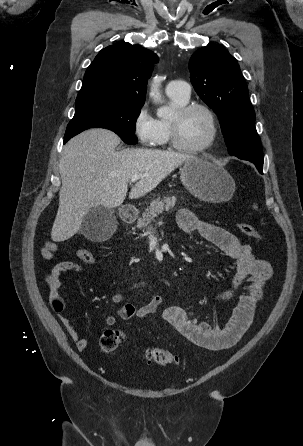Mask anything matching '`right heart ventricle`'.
<instances>
[{
    "label": "right heart ventricle",
    "instance_id": "e07e8e85",
    "mask_svg": "<svg viewBox=\"0 0 303 446\" xmlns=\"http://www.w3.org/2000/svg\"><path fill=\"white\" fill-rule=\"evenodd\" d=\"M171 102L176 107H181L188 103L189 98H183L177 95H170L168 94ZM158 127H159V137L156 142V145L158 146H165L169 143V120L165 118H161L157 120Z\"/></svg>",
    "mask_w": 303,
    "mask_h": 446
}]
</instances>
